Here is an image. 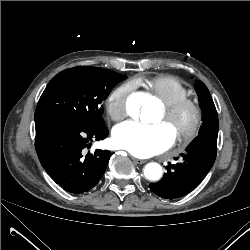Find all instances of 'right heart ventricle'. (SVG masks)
<instances>
[{"label": "right heart ventricle", "instance_id": "1", "mask_svg": "<svg viewBox=\"0 0 250 250\" xmlns=\"http://www.w3.org/2000/svg\"><path fill=\"white\" fill-rule=\"evenodd\" d=\"M136 84H144L150 94L163 104H171L188 95L186 85L172 75H159L151 78H140Z\"/></svg>", "mask_w": 250, "mask_h": 250}]
</instances>
